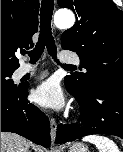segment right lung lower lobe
I'll use <instances>...</instances> for the list:
<instances>
[{"label": "right lung lower lobe", "instance_id": "1", "mask_svg": "<svg viewBox=\"0 0 123 152\" xmlns=\"http://www.w3.org/2000/svg\"><path fill=\"white\" fill-rule=\"evenodd\" d=\"M28 85L1 88V132L17 133L44 147L50 145L48 118L27 100Z\"/></svg>", "mask_w": 123, "mask_h": 152}]
</instances>
